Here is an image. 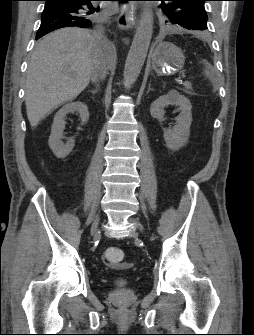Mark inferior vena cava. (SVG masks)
Masks as SVG:
<instances>
[{
    "mask_svg": "<svg viewBox=\"0 0 254 335\" xmlns=\"http://www.w3.org/2000/svg\"><path fill=\"white\" fill-rule=\"evenodd\" d=\"M104 29L102 27L97 26V29L93 32V37L95 40L103 39ZM107 74L106 64L102 63L99 59H97L94 63V67L91 73L92 82H96L99 78L104 79Z\"/></svg>",
    "mask_w": 254,
    "mask_h": 335,
    "instance_id": "inferior-vena-cava-1",
    "label": "inferior vena cava"
}]
</instances>
